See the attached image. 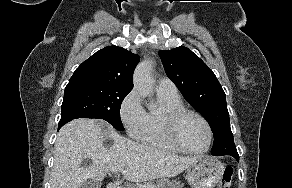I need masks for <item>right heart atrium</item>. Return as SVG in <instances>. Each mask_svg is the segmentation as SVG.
<instances>
[{
  "instance_id": "d8ad5b80",
  "label": "right heart atrium",
  "mask_w": 292,
  "mask_h": 188,
  "mask_svg": "<svg viewBox=\"0 0 292 188\" xmlns=\"http://www.w3.org/2000/svg\"><path fill=\"white\" fill-rule=\"evenodd\" d=\"M146 115L138 92L135 89L131 90L119 106L120 120L130 137H139L146 123Z\"/></svg>"
}]
</instances>
